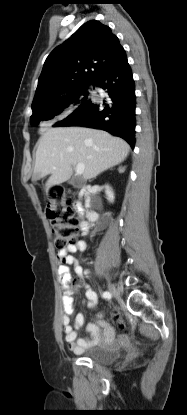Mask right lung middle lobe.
<instances>
[{"label": "right lung middle lobe", "mask_w": 187, "mask_h": 415, "mask_svg": "<svg viewBox=\"0 0 187 415\" xmlns=\"http://www.w3.org/2000/svg\"><path fill=\"white\" fill-rule=\"evenodd\" d=\"M88 86L89 84L74 89L56 103L32 108L33 114L30 117L31 125L36 126L43 120L53 119L56 115L72 105H80L83 103L88 98Z\"/></svg>", "instance_id": "right-lung-middle-lobe-1"}]
</instances>
